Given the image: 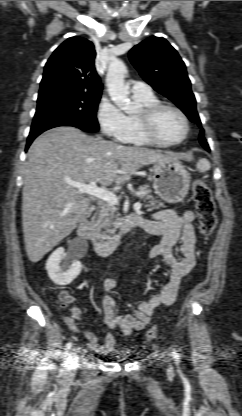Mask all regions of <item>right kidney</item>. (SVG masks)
I'll use <instances>...</instances> for the list:
<instances>
[{"mask_svg":"<svg viewBox=\"0 0 242 416\" xmlns=\"http://www.w3.org/2000/svg\"><path fill=\"white\" fill-rule=\"evenodd\" d=\"M82 264L63 247L57 248L46 262L49 278L57 285L70 284L81 272Z\"/></svg>","mask_w":242,"mask_h":416,"instance_id":"obj_1","label":"right kidney"}]
</instances>
